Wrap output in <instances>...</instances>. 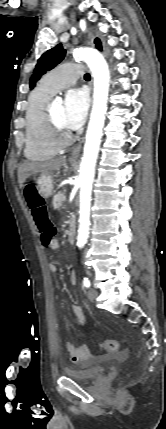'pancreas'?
<instances>
[{
	"mask_svg": "<svg viewBox=\"0 0 166 429\" xmlns=\"http://www.w3.org/2000/svg\"><path fill=\"white\" fill-rule=\"evenodd\" d=\"M63 196L64 194L62 192H59L53 197V206L55 209H59L62 206Z\"/></svg>",
	"mask_w": 166,
	"mask_h": 429,
	"instance_id": "pancreas-1",
	"label": "pancreas"
}]
</instances>
